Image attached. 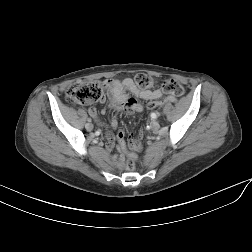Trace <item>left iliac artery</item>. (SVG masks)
<instances>
[{
    "mask_svg": "<svg viewBox=\"0 0 252 252\" xmlns=\"http://www.w3.org/2000/svg\"><path fill=\"white\" fill-rule=\"evenodd\" d=\"M151 117H152L153 119H156V118H157V114H156V113H151Z\"/></svg>",
    "mask_w": 252,
    "mask_h": 252,
    "instance_id": "obj_1",
    "label": "left iliac artery"
}]
</instances>
